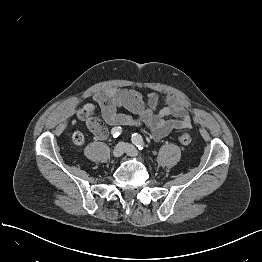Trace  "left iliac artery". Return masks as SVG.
<instances>
[{"mask_svg": "<svg viewBox=\"0 0 262 262\" xmlns=\"http://www.w3.org/2000/svg\"><path fill=\"white\" fill-rule=\"evenodd\" d=\"M132 142L138 147L139 150H144V141L140 134L134 133L132 135Z\"/></svg>", "mask_w": 262, "mask_h": 262, "instance_id": "44dca946", "label": "left iliac artery"}]
</instances>
